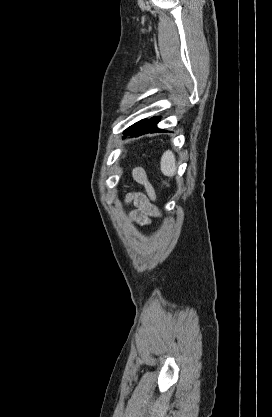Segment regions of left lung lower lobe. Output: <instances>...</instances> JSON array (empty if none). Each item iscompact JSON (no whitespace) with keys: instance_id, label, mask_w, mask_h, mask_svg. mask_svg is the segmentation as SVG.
<instances>
[{"instance_id":"left-lung-lower-lobe-1","label":"left lung lower lobe","mask_w":272,"mask_h":417,"mask_svg":"<svg viewBox=\"0 0 272 417\" xmlns=\"http://www.w3.org/2000/svg\"><path fill=\"white\" fill-rule=\"evenodd\" d=\"M160 121V117H153L150 120H148L142 127H140L139 129L132 131L128 134H126V136H139L141 134H145V133H154V132H161L162 130L158 129L156 124Z\"/></svg>"}]
</instances>
